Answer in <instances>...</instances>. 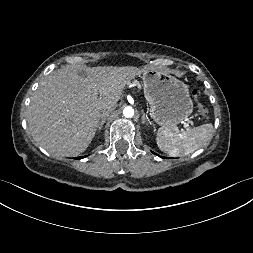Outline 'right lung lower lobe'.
Segmentation results:
<instances>
[{
	"instance_id": "right-lung-lower-lobe-1",
	"label": "right lung lower lobe",
	"mask_w": 253,
	"mask_h": 253,
	"mask_svg": "<svg viewBox=\"0 0 253 253\" xmlns=\"http://www.w3.org/2000/svg\"><path fill=\"white\" fill-rule=\"evenodd\" d=\"M83 157H77V159H82Z\"/></svg>"
}]
</instances>
